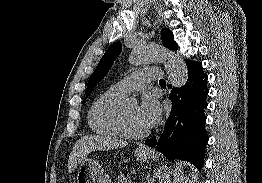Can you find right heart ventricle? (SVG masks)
Returning a JSON list of instances; mask_svg holds the SVG:
<instances>
[{
	"label": "right heart ventricle",
	"instance_id": "obj_1",
	"mask_svg": "<svg viewBox=\"0 0 262 183\" xmlns=\"http://www.w3.org/2000/svg\"><path fill=\"white\" fill-rule=\"evenodd\" d=\"M124 97L125 95L110 88L94 101L88 113V123L94 133L109 138L124 137L119 125Z\"/></svg>",
	"mask_w": 262,
	"mask_h": 183
}]
</instances>
